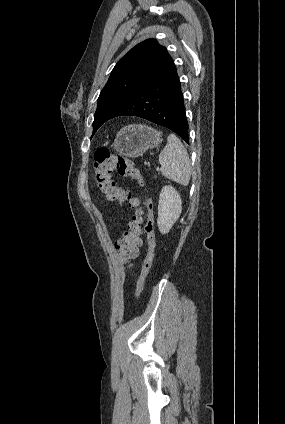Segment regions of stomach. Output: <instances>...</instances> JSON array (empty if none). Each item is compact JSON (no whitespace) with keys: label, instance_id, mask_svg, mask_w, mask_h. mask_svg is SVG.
Here are the masks:
<instances>
[{"label":"stomach","instance_id":"1","mask_svg":"<svg viewBox=\"0 0 285 424\" xmlns=\"http://www.w3.org/2000/svg\"><path fill=\"white\" fill-rule=\"evenodd\" d=\"M162 133L146 125H128L117 134L114 149L126 157H139L143 153L158 147Z\"/></svg>","mask_w":285,"mask_h":424}]
</instances>
